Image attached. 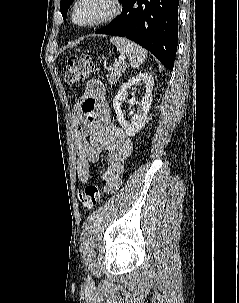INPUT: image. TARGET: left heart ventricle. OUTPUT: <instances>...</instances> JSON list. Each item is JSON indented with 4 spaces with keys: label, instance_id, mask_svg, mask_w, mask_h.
<instances>
[{
    "label": "left heart ventricle",
    "instance_id": "1",
    "mask_svg": "<svg viewBox=\"0 0 239 303\" xmlns=\"http://www.w3.org/2000/svg\"><path fill=\"white\" fill-rule=\"evenodd\" d=\"M112 8L109 0H82L77 7L76 19L87 23L107 14Z\"/></svg>",
    "mask_w": 239,
    "mask_h": 303
}]
</instances>
